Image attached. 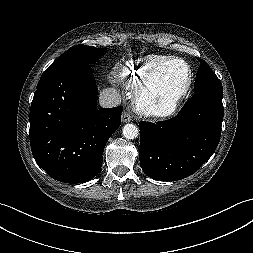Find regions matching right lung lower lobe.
Wrapping results in <instances>:
<instances>
[{
	"label": "right lung lower lobe",
	"mask_w": 253,
	"mask_h": 253,
	"mask_svg": "<svg viewBox=\"0 0 253 253\" xmlns=\"http://www.w3.org/2000/svg\"><path fill=\"white\" fill-rule=\"evenodd\" d=\"M123 107L97 108V87L87 65L41 77L30 110V145L52 178L83 183L95 177L102 153L121 123Z\"/></svg>",
	"instance_id": "98d812e1"
}]
</instances>
